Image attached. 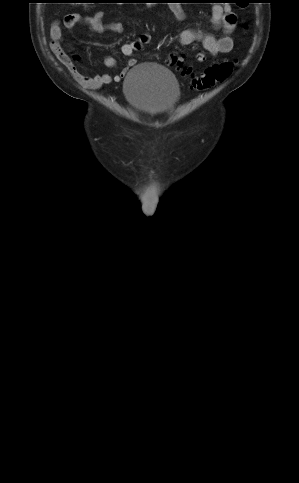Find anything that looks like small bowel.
Here are the masks:
<instances>
[{"mask_svg":"<svg viewBox=\"0 0 299 483\" xmlns=\"http://www.w3.org/2000/svg\"><path fill=\"white\" fill-rule=\"evenodd\" d=\"M170 10L174 17L182 21L185 19V14L181 6L174 4L170 6ZM104 13L102 11L96 12L93 16H84L78 13L67 14L63 23L67 29H74L77 24H88L91 30L95 33H104L107 31L120 34L124 31V27L120 22H113L110 24H104ZM212 22L215 27H220L223 30V35L219 38L203 32H198L191 29H184L179 33V41L184 45H190L199 42L203 45L204 49L213 56L218 54H227L233 50L234 41L231 37V33L236 28V16L229 11L225 4H215L212 8ZM63 30L58 22H54L50 27V47L57 57V59L74 74L76 80L90 88L99 89L104 85L111 82H120L129 67L134 66L137 61L134 58H129L127 61V67L123 68L118 74L111 75L107 72L97 74L94 76L83 75L77 72L76 67L62 47L63 42ZM152 40L150 34H143L138 40L123 43L121 45V53L124 56L130 57L136 51L141 50L145 45H148ZM195 58L199 62H203L206 59L204 53L198 52ZM103 63L107 67H114L117 65L116 58L107 56L104 58Z\"/></svg>","mask_w":299,"mask_h":483,"instance_id":"obj_1","label":"small bowel"}]
</instances>
